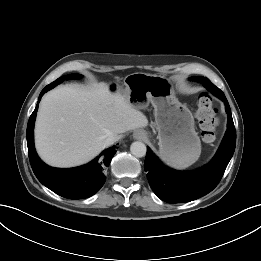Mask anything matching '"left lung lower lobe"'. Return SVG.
Listing matches in <instances>:
<instances>
[{
  "label": "left lung lower lobe",
  "instance_id": "left-lung-lower-lobe-1",
  "mask_svg": "<svg viewBox=\"0 0 261 261\" xmlns=\"http://www.w3.org/2000/svg\"><path fill=\"white\" fill-rule=\"evenodd\" d=\"M212 94L224 101L228 114L227 131L214 158L200 169L182 172L163 165L147 147L144 169L154 193L168 203H184L198 199L211 192L221 180L233 156L236 145V131L231 109L224 93L205 77H193Z\"/></svg>",
  "mask_w": 261,
  "mask_h": 261
}]
</instances>
